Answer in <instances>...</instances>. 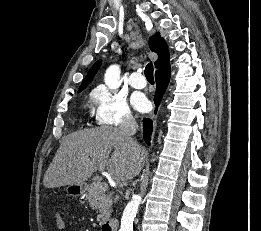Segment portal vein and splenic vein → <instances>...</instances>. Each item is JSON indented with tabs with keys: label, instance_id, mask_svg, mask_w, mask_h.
Instances as JSON below:
<instances>
[{
	"label": "portal vein and splenic vein",
	"instance_id": "18ae733b",
	"mask_svg": "<svg viewBox=\"0 0 261 231\" xmlns=\"http://www.w3.org/2000/svg\"><path fill=\"white\" fill-rule=\"evenodd\" d=\"M100 188L103 190V191H106L108 190V184L106 182H103L100 186Z\"/></svg>",
	"mask_w": 261,
	"mask_h": 231
}]
</instances>
